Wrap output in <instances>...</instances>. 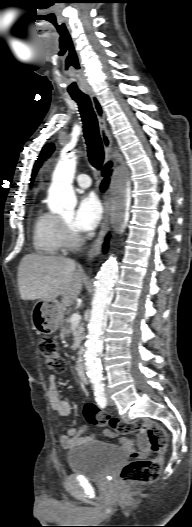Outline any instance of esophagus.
<instances>
[{"label":"esophagus","mask_w":192,"mask_h":527,"mask_svg":"<svg viewBox=\"0 0 192 527\" xmlns=\"http://www.w3.org/2000/svg\"><path fill=\"white\" fill-rule=\"evenodd\" d=\"M88 94L92 100L93 107H94V110L98 118L100 135H101L102 143H103L104 150H105V162H107L110 160V157H111L110 153H111V147H112V139L107 129L105 112L96 94L91 90L88 91ZM102 201H103V207H104L103 219H102V223H101L98 236L88 251V254H87L88 261L93 260L100 253L105 236L108 231L109 211H110V200H109L108 193L103 194Z\"/></svg>","instance_id":"esophagus-1"}]
</instances>
